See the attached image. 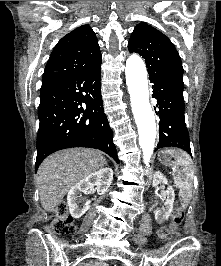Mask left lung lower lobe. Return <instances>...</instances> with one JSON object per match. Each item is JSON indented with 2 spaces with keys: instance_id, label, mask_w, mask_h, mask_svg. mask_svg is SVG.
<instances>
[{
  "instance_id": "obj_1",
  "label": "left lung lower lobe",
  "mask_w": 221,
  "mask_h": 266,
  "mask_svg": "<svg viewBox=\"0 0 221 266\" xmlns=\"http://www.w3.org/2000/svg\"><path fill=\"white\" fill-rule=\"evenodd\" d=\"M157 99L156 114L160 118L159 143L155 151L163 147H178L191 155L189 134L184 117L183 86L160 78H149Z\"/></svg>"
}]
</instances>
